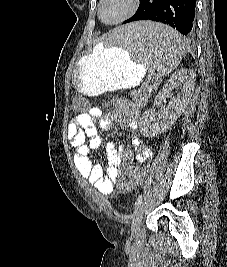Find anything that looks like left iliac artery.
I'll use <instances>...</instances> for the list:
<instances>
[{
  "instance_id": "1",
  "label": "left iliac artery",
  "mask_w": 227,
  "mask_h": 267,
  "mask_svg": "<svg viewBox=\"0 0 227 267\" xmlns=\"http://www.w3.org/2000/svg\"><path fill=\"white\" fill-rule=\"evenodd\" d=\"M142 202V194L139 195V197L137 198L136 202H135V209L141 205Z\"/></svg>"
}]
</instances>
